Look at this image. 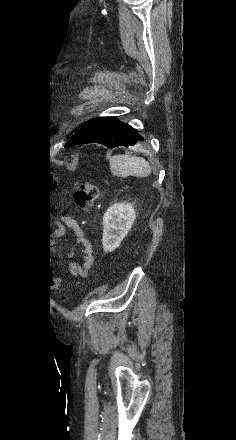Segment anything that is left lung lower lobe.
Instances as JSON below:
<instances>
[{
  "instance_id": "0a47b994",
  "label": "left lung lower lobe",
  "mask_w": 236,
  "mask_h": 440,
  "mask_svg": "<svg viewBox=\"0 0 236 440\" xmlns=\"http://www.w3.org/2000/svg\"><path fill=\"white\" fill-rule=\"evenodd\" d=\"M144 140L137 130L113 117H99L84 124L66 146L99 143L108 148L133 146Z\"/></svg>"
}]
</instances>
